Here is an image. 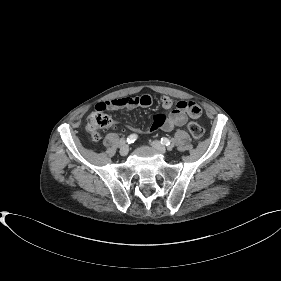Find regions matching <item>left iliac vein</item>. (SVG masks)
Returning <instances> with one entry per match:
<instances>
[{
	"instance_id": "4c4485c4",
	"label": "left iliac vein",
	"mask_w": 281,
	"mask_h": 281,
	"mask_svg": "<svg viewBox=\"0 0 281 281\" xmlns=\"http://www.w3.org/2000/svg\"><path fill=\"white\" fill-rule=\"evenodd\" d=\"M151 145H152L157 151H159L160 153L166 154L167 149H166V147H165L160 141L154 140V141L151 142ZM168 149L171 150L172 147H169Z\"/></svg>"
}]
</instances>
